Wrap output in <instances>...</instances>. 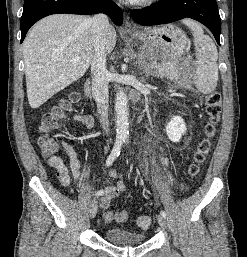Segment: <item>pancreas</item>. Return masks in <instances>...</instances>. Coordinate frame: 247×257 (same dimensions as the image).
<instances>
[{"label":"pancreas","mask_w":247,"mask_h":257,"mask_svg":"<svg viewBox=\"0 0 247 257\" xmlns=\"http://www.w3.org/2000/svg\"><path fill=\"white\" fill-rule=\"evenodd\" d=\"M174 72V67L169 63L154 66V73L157 77H169Z\"/></svg>","instance_id":"1"}]
</instances>
